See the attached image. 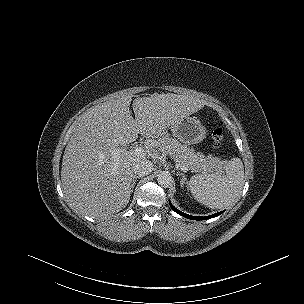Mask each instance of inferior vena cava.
<instances>
[{
    "instance_id": "602c4592",
    "label": "inferior vena cava",
    "mask_w": 304,
    "mask_h": 304,
    "mask_svg": "<svg viewBox=\"0 0 304 304\" xmlns=\"http://www.w3.org/2000/svg\"><path fill=\"white\" fill-rule=\"evenodd\" d=\"M153 163L149 160H139L136 162L133 166V171L135 173V176L137 177H143L145 175H148L153 170Z\"/></svg>"
}]
</instances>
